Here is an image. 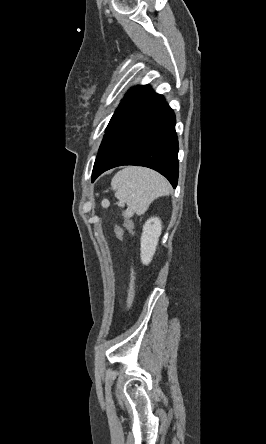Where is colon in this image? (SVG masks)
Masks as SVG:
<instances>
[{
    "instance_id": "colon-1",
    "label": "colon",
    "mask_w": 266,
    "mask_h": 444,
    "mask_svg": "<svg viewBox=\"0 0 266 444\" xmlns=\"http://www.w3.org/2000/svg\"><path fill=\"white\" fill-rule=\"evenodd\" d=\"M124 228L125 230L132 235L133 234V223L130 219H125L124 221ZM123 235H124V229L120 226H116L115 227V236L116 238L121 241L123 239ZM134 294H135V270L134 268L131 271V277H130V281H129V286H128V290H127V308L130 309L133 303V299H134Z\"/></svg>"
}]
</instances>
